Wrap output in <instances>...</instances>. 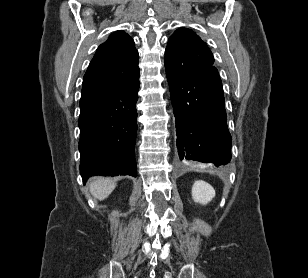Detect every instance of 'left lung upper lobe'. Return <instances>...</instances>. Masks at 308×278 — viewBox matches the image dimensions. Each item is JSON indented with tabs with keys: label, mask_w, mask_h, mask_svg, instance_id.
Segmentation results:
<instances>
[{
	"label": "left lung upper lobe",
	"mask_w": 308,
	"mask_h": 278,
	"mask_svg": "<svg viewBox=\"0 0 308 278\" xmlns=\"http://www.w3.org/2000/svg\"><path fill=\"white\" fill-rule=\"evenodd\" d=\"M165 68L176 73H189L213 66V54L192 30L179 28L169 38L165 50Z\"/></svg>",
	"instance_id": "1"
}]
</instances>
